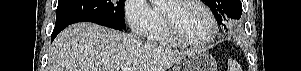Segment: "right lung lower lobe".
Instances as JSON below:
<instances>
[{
	"label": "right lung lower lobe",
	"mask_w": 301,
	"mask_h": 71,
	"mask_svg": "<svg viewBox=\"0 0 301 71\" xmlns=\"http://www.w3.org/2000/svg\"><path fill=\"white\" fill-rule=\"evenodd\" d=\"M83 22H85V21H83ZM87 22H94V23H97V24H99V25L111 27L110 24H107V23H105V22H103V21H100V20L87 21ZM68 25H69V24L55 25L54 30H53L52 35H51V41H53L54 38L57 36V34H58L61 30H63L65 27H67ZM111 28H112V27H111Z\"/></svg>",
	"instance_id": "obj_1"
}]
</instances>
